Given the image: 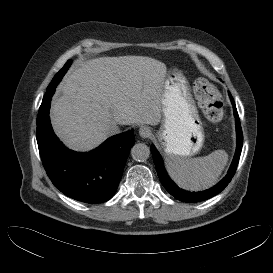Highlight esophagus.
Segmentation results:
<instances>
[{
    "label": "esophagus",
    "instance_id": "obj_1",
    "mask_svg": "<svg viewBox=\"0 0 273 273\" xmlns=\"http://www.w3.org/2000/svg\"><path fill=\"white\" fill-rule=\"evenodd\" d=\"M139 135L142 138H149L152 135V132H151L150 128H148L146 126H142L139 129Z\"/></svg>",
    "mask_w": 273,
    "mask_h": 273
}]
</instances>
